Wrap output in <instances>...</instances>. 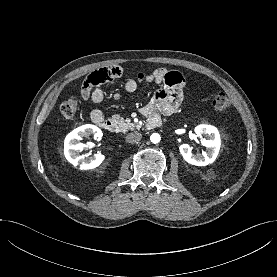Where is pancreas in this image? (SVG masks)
Listing matches in <instances>:
<instances>
[{"mask_svg": "<svg viewBox=\"0 0 277 277\" xmlns=\"http://www.w3.org/2000/svg\"><path fill=\"white\" fill-rule=\"evenodd\" d=\"M111 120L115 123L116 128H118V130L120 132H123V133H125L129 130H134L136 128H139L138 125H136L134 123L127 122L124 118H122L118 114L113 115Z\"/></svg>", "mask_w": 277, "mask_h": 277, "instance_id": "cf45deb5", "label": "pancreas"}]
</instances>
